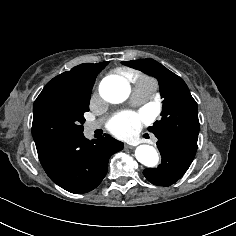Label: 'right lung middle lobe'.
Returning <instances> with one entry per match:
<instances>
[{
  "mask_svg": "<svg viewBox=\"0 0 236 236\" xmlns=\"http://www.w3.org/2000/svg\"><path fill=\"white\" fill-rule=\"evenodd\" d=\"M90 99L84 101L44 98L33 106L32 135L35 143L56 137H72L83 133L84 113Z\"/></svg>",
  "mask_w": 236,
  "mask_h": 236,
  "instance_id": "1",
  "label": "right lung middle lobe"
}]
</instances>
